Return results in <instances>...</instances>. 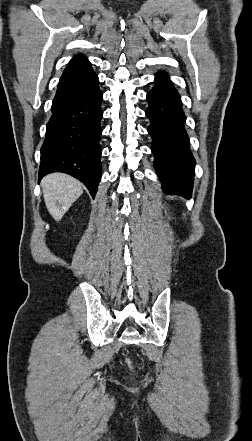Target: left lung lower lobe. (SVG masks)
<instances>
[{
    "instance_id": "1",
    "label": "left lung lower lobe",
    "mask_w": 252,
    "mask_h": 441,
    "mask_svg": "<svg viewBox=\"0 0 252 441\" xmlns=\"http://www.w3.org/2000/svg\"><path fill=\"white\" fill-rule=\"evenodd\" d=\"M155 85L148 92L146 116L151 125L154 167L168 194L191 196L195 160L185 129L186 116L181 98L165 72L156 74Z\"/></svg>"
}]
</instances>
